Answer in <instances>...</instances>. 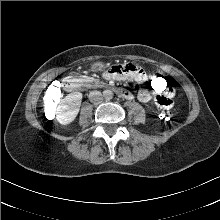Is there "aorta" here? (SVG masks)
Listing matches in <instances>:
<instances>
[{
	"label": "aorta",
	"instance_id": "obj_1",
	"mask_svg": "<svg viewBox=\"0 0 220 220\" xmlns=\"http://www.w3.org/2000/svg\"><path fill=\"white\" fill-rule=\"evenodd\" d=\"M105 95H106L108 98H110V97L112 96V93H111L110 91H106V92H105Z\"/></svg>",
	"mask_w": 220,
	"mask_h": 220
}]
</instances>
